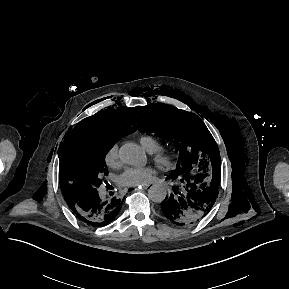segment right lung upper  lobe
I'll list each match as a JSON object with an SVG mask.
<instances>
[{"label": "right lung upper lobe", "instance_id": "right-lung-upper-lobe-1", "mask_svg": "<svg viewBox=\"0 0 289 289\" xmlns=\"http://www.w3.org/2000/svg\"><path fill=\"white\" fill-rule=\"evenodd\" d=\"M135 109L129 107H120L118 109H106L95 115L83 119L79 122L67 140L61 145L60 161V184L65 199H71L74 196L66 187L62 188L64 177L65 162L68 154L78 145L87 139L96 138L104 134H119L122 137L136 131L137 127Z\"/></svg>", "mask_w": 289, "mask_h": 289}]
</instances>
